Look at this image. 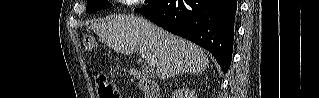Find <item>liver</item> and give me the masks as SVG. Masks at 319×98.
Here are the masks:
<instances>
[{
  "label": "liver",
  "instance_id": "1",
  "mask_svg": "<svg viewBox=\"0 0 319 98\" xmlns=\"http://www.w3.org/2000/svg\"><path fill=\"white\" fill-rule=\"evenodd\" d=\"M111 49L131 55L139 48L156 61L161 80L181 73H200L209 66L207 55L194 43L134 15H116L89 26Z\"/></svg>",
  "mask_w": 319,
  "mask_h": 98
}]
</instances>
